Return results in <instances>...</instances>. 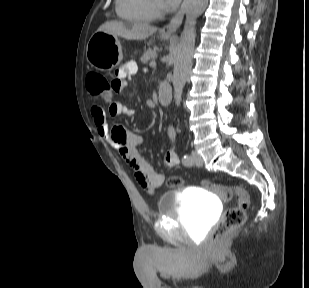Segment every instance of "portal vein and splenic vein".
Returning <instances> with one entry per match:
<instances>
[{
    "mask_svg": "<svg viewBox=\"0 0 309 288\" xmlns=\"http://www.w3.org/2000/svg\"><path fill=\"white\" fill-rule=\"evenodd\" d=\"M150 66H152V67L156 66V62L155 61H151L150 62Z\"/></svg>",
    "mask_w": 309,
    "mask_h": 288,
    "instance_id": "portal-vein-and-splenic-vein-1",
    "label": "portal vein and splenic vein"
}]
</instances>
